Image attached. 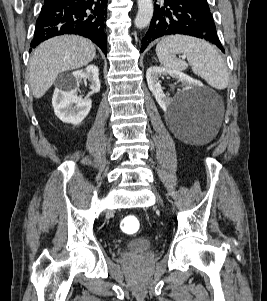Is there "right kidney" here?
Returning <instances> with one entry per match:
<instances>
[{
  "instance_id": "right-kidney-1",
  "label": "right kidney",
  "mask_w": 267,
  "mask_h": 301,
  "mask_svg": "<svg viewBox=\"0 0 267 301\" xmlns=\"http://www.w3.org/2000/svg\"><path fill=\"white\" fill-rule=\"evenodd\" d=\"M87 79L90 82L91 92L100 91L99 69L95 65H89L83 70L72 73L66 84L55 89L52 97V105L55 115L64 123L77 125L89 114L92 101L89 97L82 99L77 95L79 83Z\"/></svg>"
}]
</instances>
